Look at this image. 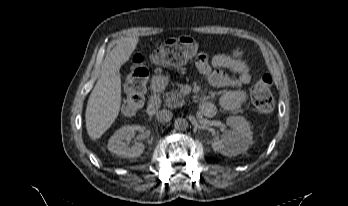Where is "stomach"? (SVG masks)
<instances>
[{
    "mask_svg": "<svg viewBox=\"0 0 348 206\" xmlns=\"http://www.w3.org/2000/svg\"><path fill=\"white\" fill-rule=\"evenodd\" d=\"M185 53L188 57H192L196 54L198 50V43L193 37L183 36L180 41ZM169 81L168 76L158 75L156 76V82L159 84H166Z\"/></svg>",
    "mask_w": 348,
    "mask_h": 206,
    "instance_id": "stomach-1",
    "label": "stomach"
}]
</instances>
